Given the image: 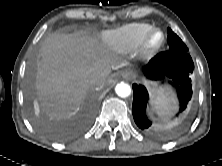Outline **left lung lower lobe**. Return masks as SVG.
Masks as SVG:
<instances>
[{"instance_id": "1", "label": "left lung lower lobe", "mask_w": 222, "mask_h": 166, "mask_svg": "<svg viewBox=\"0 0 222 166\" xmlns=\"http://www.w3.org/2000/svg\"><path fill=\"white\" fill-rule=\"evenodd\" d=\"M194 63L189 52L167 50L158 53L145 67V75L151 80H169L177 92L180 102L179 113L184 111L192 97L191 74ZM132 113L137 126L143 130L151 129L152 122L147 118L146 106L148 92L143 85L133 84Z\"/></svg>"}]
</instances>
